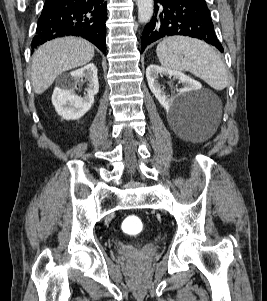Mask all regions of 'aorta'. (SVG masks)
Segmentation results:
<instances>
[{
  "label": "aorta",
  "instance_id": "762f6f07",
  "mask_svg": "<svg viewBox=\"0 0 267 301\" xmlns=\"http://www.w3.org/2000/svg\"><path fill=\"white\" fill-rule=\"evenodd\" d=\"M137 6L139 22H149L153 15V0H137Z\"/></svg>",
  "mask_w": 267,
  "mask_h": 301
}]
</instances>
